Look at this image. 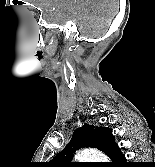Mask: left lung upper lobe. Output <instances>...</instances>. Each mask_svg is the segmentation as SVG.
Listing matches in <instances>:
<instances>
[{
  "mask_svg": "<svg viewBox=\"0 0 155 167\" xmlns=\"http://www.w3.org/2000/svg\"><path fill=\"white\" fill-rule=\"evenodd\" d=\"M116 146L111 129L84 124L81 128L74 131L70 143L48 162L47 166L83 167L82 163L70 162L75 150L93 147L109 157Z\"/></svg>",
  "mask_w": 155,
  "mask_h": 167,
  "instance_id": "1",
  "label": "left lung upper lobe"
}]
</instances>
